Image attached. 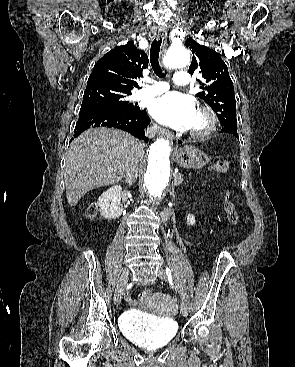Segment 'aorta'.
Returning <instances> with one entry per match:
<instances>
[{
	"mask_svg": "<svg viewBox=\"0 0 295 367\" xmlns=\"http://www.w3.org/2000/svg\"><path fill=\"white\" fill-rule=\"evenodd\" d=\"M164 65L168 68H183L190 63L189 51L183 47L170 48L165 57ZM171 142L165 138L157 139L148 152L144 182L150 196L160 199L170 181Z\"/></svg>",
	"mask_w": 295,
	"mask_h": 367,
	"instance_id": "aorta-1",
	"label": "aorta"
}]
</instances>
